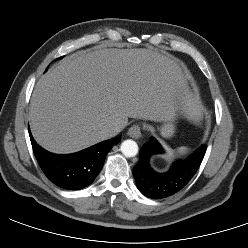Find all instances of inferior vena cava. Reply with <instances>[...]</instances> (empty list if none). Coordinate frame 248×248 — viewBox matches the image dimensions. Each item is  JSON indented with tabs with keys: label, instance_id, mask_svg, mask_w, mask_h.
Returning <instances> with one entry per match:
<instances>
[{
	"label": "inferior vena cava",
	"instance_id": "obj_1",
	"mask_svg": "<svg viewBox=\"0 0 248 248\" xmlns=\"http://www.w3.org/2000/svg\"><path fill=\"white\" fill-rule=\"evenodd\" d=\"M121 131V128L119 126H115V127H111L107 130V134L110 137H113L115 135H117L119 132Z\"/></svg>",
	"mask_w": 248,
	"mask_h": 248
}]
</instances>
